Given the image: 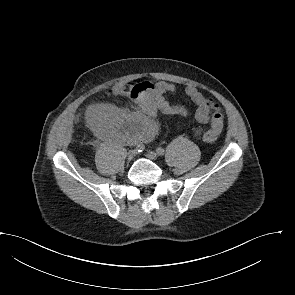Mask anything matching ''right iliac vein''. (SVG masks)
<instances>
[{
  "label": "right iliac vein",
  "instance_id": "obj_1",
  "mask_svg": "<svg viewBox=\"0 0 295 295\" xmlns=\"http://www.w3.org/2000/svg\"><path fill=\"white\" fill-rule=\"evenodd\" d=\"M136 155V151L135 150H130L127 154V158L128 160H132Z\"/></svg>",
  "mask_w": 295,
  "mask_h": 295
}]
</instances>
